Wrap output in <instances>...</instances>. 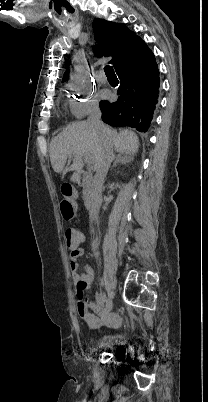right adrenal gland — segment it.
<instances>
[{
    "label": "right adrenal gland",
    "instance_id": "obj_1",
    "mask_svg": "<svg viewBox=\"0 0 208 402\" xmlns=\"http://www.w3.org/2000/svg\"><path fill=\"white\" fill-rule=\"evenodd\" d=\"M112 160H116V162H114V166L113 168H115V166H119V164H123V162H126V156H121V154H118V156H113Z\"/></svg>",
    "mask_w": 208,
    "mask_h": 402
}]
</instances>
